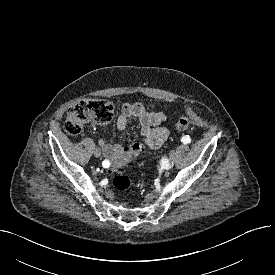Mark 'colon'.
<instances>
[{"mask_svg": "<svg viewBox=\"0 0 275 275\" xmlns=\"http://www.w3.org/2000/svg\"><path fill=\"white\" fill-rule=\"evenodd\" d=\"M114 107L111 102L104 99H85L73 105L66 113L64 129L70 135H78L87 123H95L105 126L113 118ZM193 123L191 111H186L176 123L179 130H185ZM143 151L140 143L132 145L130 154L113 161L111 170L116 173L112 180V186L119 193L126 192L131 187V180L122 172L129 161Z\"/></svg>", "mask_w": 275, "mask_h": 275, "instance_id": "1", "label": "colon"}]
</instances>
